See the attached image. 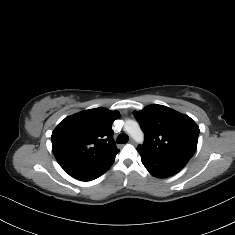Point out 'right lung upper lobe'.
I'll return each instance as SVG.
<instances>
[{
	"mask_svg": "<svg viewBox=\"0 0 235 235\" xmlns=\"http://www.w3.org/2000/svg\"><path fill=\"white\" fill-rule=\"evenodd\" d=\"M118 111L84 110L62 120L52 133L53 153L64 169L98 170L111 166L119 152L112 123Z\"/></svg>",
	"mask_w": 235,
	"mask_h": 235,
	"instance_id": "cb5924a9",
	"label": "right lung upper lobe"
}]
</instances>
